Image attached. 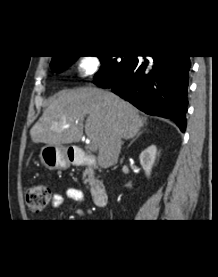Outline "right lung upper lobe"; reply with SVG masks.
<instances>
[{
	"mask_svg": "<svg viewBox=\"0 0 218 277\" xmlns=\"http://www.w3.org/2000/svg\"><path fill=\"white\" fill-rule=\"evenodd\" d=\"M56 57H60V56H53V58H52V59H54V58H56Z\"/></svg>",
	"mask_w": 218,
	"mask_h": 277,
	"instance_id": "1",
	"label": "right lung upper lobe"
}]
</instances>
